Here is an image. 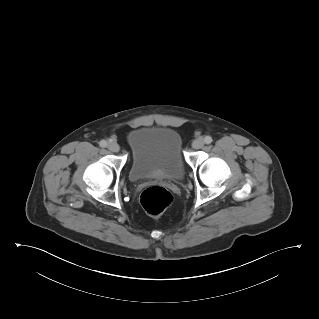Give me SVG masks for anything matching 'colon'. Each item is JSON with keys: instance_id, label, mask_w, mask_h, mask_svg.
I'll return each instance as SVG.
<instances>
[{"instance_id": "colon-1", "label": "colon", "mask_w": 319, "mask_h": 319, "mask_svg": "<svg viewBox=\"0 0 319 319\" xmlns=\"http://www.w3.org/2000/svg\"><path fill=\"white\" fill-rule=\"evenodd\" d=\"M171 193L161 186H150L146 188L140 197L144 210L152 217L161 216L172 204Z\"/></svg>"}]
</instances>
